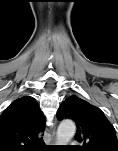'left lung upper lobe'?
I'll list each match as a JSON object with an SVG mask.
<instances>
[{
  "mask_svg": "<svg viewBox=\"0 0 118 151\" xmlns=\"http://www.w3.org/2000/svg\"><path fill=\"white\" fill-rule=\"evenodd\" d=\"M58 120L65 118L76 122V139L83 142L80 151H118V139L113 125L96 106L77 97L70 96L57 111Z\"/></svg>",
  "mask_w": 118,
  "mask_h": 151,
  "instance_id": "1",
  "label": "left lung upper lobe"
}]
</instances>
